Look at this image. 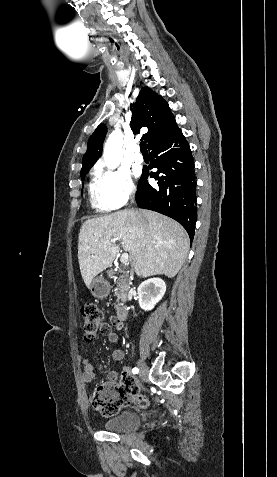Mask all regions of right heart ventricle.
Segmentation results:
<instances>
[{"label":"right heart ventricle","instance_id":"right-heart-ventricle-1","mask_svg":"<svg viewBox=\"0 0 277 477\" xmlns=\"http://www.w3.org/2000/svg\"><path fill=\"white\" fill-rule=\"evenodd\" d=\"M89 195L91 205L94 209L101 212L110 210L101 195L99 182L96 178H93L89 184Z\"/></svg>","mask_w":277,"mask_h":477}]
</instances>
